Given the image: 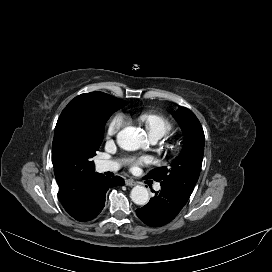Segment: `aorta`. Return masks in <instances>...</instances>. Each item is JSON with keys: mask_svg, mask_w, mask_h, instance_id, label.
<instances>
[{"mask_svg": "<svg viewBox=\"0 0 272 272\" xmlns=\"http://www.w3.org/2000/svg\"><path fill=\"white\" fill-rule=\"evenodd\" d=\"M118 145L128 151L141 148L145 143V133L136 127H126L117 135ZM131 199L137 205H146L149 201V193L146 187L135 186L131 190Z\"/></svg>", "mask_w": 272, "mask_h": 272, "instance_id": "obj_1", "label": "aorta"}]
</instances>
